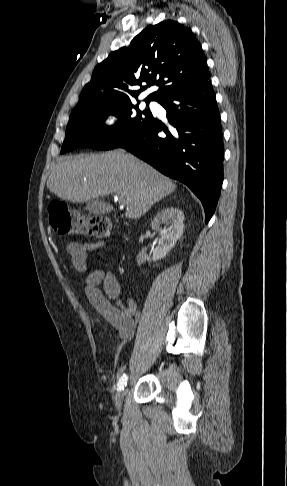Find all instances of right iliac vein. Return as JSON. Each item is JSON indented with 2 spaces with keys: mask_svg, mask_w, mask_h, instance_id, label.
Instances as JSON below:
<instances>
[{
  "mask_svg": "<svg viewBox=\"0 0 287 486\" xmlns=\"http://www.w3.org/2000/svg\"><path fill=\"white\" fill-rule=\"evenodd\" d=\"M126 391H127L126 388L121 389L118 396H117L116 405H117V408L119 410L122 407V400H123L124 395L126 394Z\"/></svg>",
  "mask_w": 287,
  "mask_h": 486,
  "instance_id": "63e3f726",
  "label": "right iliac vein"
}]
</instances>
